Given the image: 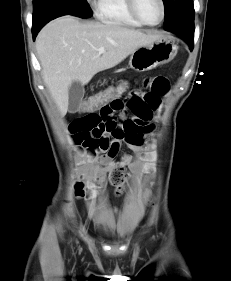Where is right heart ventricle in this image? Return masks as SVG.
Returning <instances> with one entry per match:
<instances>
[{
    "label": "right heart ventricle",
    "instance_id": "obj_1",
    "mask_svg": "<svg viewBox=\"0 0 231 281\" xmlns=\"http://www.w3.org/2000/svg\"><path fill=\"white\" fill-rule=\"evenodd\" d=\"M96 15L100 21L110 25L140 28L142 24L131 14L127 0H97Z\"/></svg>",
    "mask_w": 231,
    "mask_h": 281
}]
</instances>
